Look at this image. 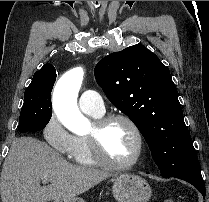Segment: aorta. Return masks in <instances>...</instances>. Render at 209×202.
I'll return each mask as SVG.
<instances>
[{
	"instance_id": "762f6f07",
	"label": "aorta",
	"mask_w": 209,
	"mask_h": 202,
	"mask_svg": "<svg viewBox=\"0 0 209 202\" xmlns=\"http://www.w3.org/2000/svg\"><path fill=\"white\" fill-rule=\"evenodd\" d=\"M84 77L82 67L66 72L57 82L53 93V108L61 123L73 133L86 132L89 120L77 106V97Z\"/></svg>"
}]
</instances>
